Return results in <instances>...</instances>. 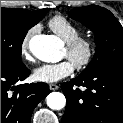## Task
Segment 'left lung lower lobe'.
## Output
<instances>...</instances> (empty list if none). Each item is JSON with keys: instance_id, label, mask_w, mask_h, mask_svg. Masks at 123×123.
<instances>
[{"instance_id": "0a47b994", "label": "left lung lower lobe", "mask_w": 123, "mask_h": 123, "mask_svg": "<svg viewBox=\"0 0 123 123\" xmlns=\"http://www.w3.org/2000/svg\"><path fill=\"white\" fill-rule=\"evenodd\" d=\"M61 88L67 100L62 123H123V64L79 75Z\"/></svg>"}]
</instances>
